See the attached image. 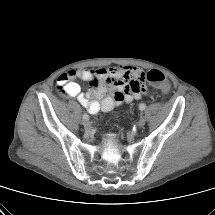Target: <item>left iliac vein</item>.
Returning a JSON list of instances; mask_svg holds the SVG:
<instances>
[{"instance_id":"1","label":"left iliac vein","mask_w":215,"mask_h":215,"mask_svg":"<svg viewBox=\"0 0 215 215\" xmlns=\"http://www.w3.org/2000/svg\"><path fill=\"white\" fill-rule=\"evenodd\" d=\"M145 122H146L145 117H144V116H141L140 119H139V121H138V127H139V128L144 127Z\"/></svg>"}]
</instances>
